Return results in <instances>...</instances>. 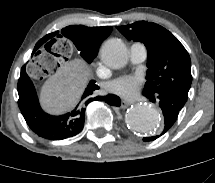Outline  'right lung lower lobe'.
I'll list each match as a JSON object with an SVG mask.
<instances>
[{"mask_svg": "<svg viewBox=\"0 0 215 183\" xmlns=\"http://www.w3.org/2000/svg\"><path fill=\"white\" fill-rule=\"evenodd\" d=\"M17 87L18 105L28 126L38 136L49 140H63L77 135L83 129L85 110L92 101L99 100L112 106H120L121 103L120 98L113 94L95 96V91L99 89V86L94 80H91L79 103L71 112L53 116L41 109L36 90L26 73L25 65L21 69Z\"/></svg>", "mask_w": 215, "mask_h": 183, "instance_id": "right-lung-lower-lobe-1", "label": "right lung lower lobe"}]
</instances>
